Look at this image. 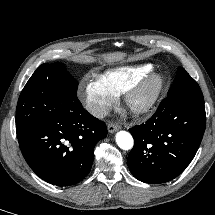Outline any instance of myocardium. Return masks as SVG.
Instances as JSON below:
<instances>
[{"label":"myocardium","mask_w":215,"mask_h":215,"mask_svg":"<svg viewBox=\"0 0 215 215\" xmlns=\"http://www.w3.org/2000/svg\"><path fill=\"white\" fill-rule=\"evenodd\" d=\"M167 87V77L160 71H152L130 85L123 94L125 108L135 117L149 115L157 106ZM149 91L148 98L140 104L135 103L136 97Z\"/></svg>","instance_id":"obj_1"}]
</instances>
